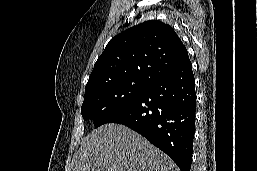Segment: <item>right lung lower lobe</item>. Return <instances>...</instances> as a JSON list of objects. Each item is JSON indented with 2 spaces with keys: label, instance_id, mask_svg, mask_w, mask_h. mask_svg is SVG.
Wrapping results in <instances>:
<instances>
[{
  "label": "right lung lower lobe",
  "instance_id": "98d812e1",
  "mask_svg": "<svg viewBox=\"0 0 257 171\" xmlns=\"http://www.w3.org/2000/svg\"><path fill=\"white\" fill-rule=\"evenodd\" d=\"M196 92L191 62L161 77L105 123H119L161 149L181 171H190Z\"/></svg>",
  "mask_w": 257,
  "mask_h": 171
}]
</instances>
